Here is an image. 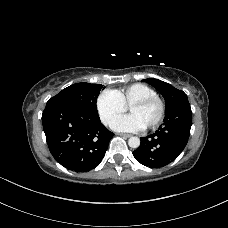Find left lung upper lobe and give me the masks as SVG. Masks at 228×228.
Masks as SVG:
<instances>
[{
	"label": "left lung upper lobe",
	"mask_w": 228,
	"mask_h": 228,
	"mask_svg": "<svg viewBox=\"0 0 228 228\" xmlns=\"http://www.w3.org/2000/svg\"><path fill=\"white\" fill-rule=\"evenodd\" d=\"M146 81L154 86L165 99V114L172 113L177 118L181 114L180 107L184 103H189L187 95L172 85L158 79H146Z\"/></svg>",
	"instance_id": "obj_1"
}]
</instances>
